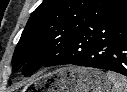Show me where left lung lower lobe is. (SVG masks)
Listing matches in <instances>:
<instances>
[{"instance_id":"1","label":"left lung lower lobe","mask_w":127,"mask_h":92,"mask_svg":"<svg viewBox=\"0 0 127 92\" xmlns=\"http://www.w3.org/2000/svg\"><path fill=\"white\" fill-rule=\"evenodd\" d=\"M72 64L127 76V0L76 34L45 66Z\"/></svg>"}]
</instances>
